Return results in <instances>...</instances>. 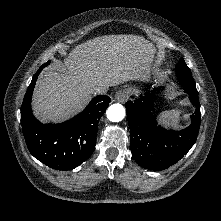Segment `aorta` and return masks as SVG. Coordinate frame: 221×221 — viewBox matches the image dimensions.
<instances>
[{"mask_svg": "<svg viewBox=\"0 0 221 221\" xmlns=\"http://www.w3.org/2000/svg\"><path fill=\"white\" fill-rule=\"evenodd\" d=\"M125 108L121 104H112L106 111L107 118L111 122H119L125 117Z\"/></svg>", "mask_w": 221, "mask_h": 221, "instance_id": "aorta-1", "label": "aorta"}]
</instances>
